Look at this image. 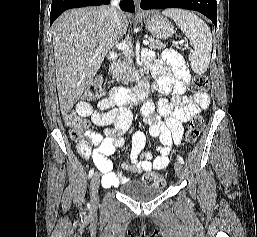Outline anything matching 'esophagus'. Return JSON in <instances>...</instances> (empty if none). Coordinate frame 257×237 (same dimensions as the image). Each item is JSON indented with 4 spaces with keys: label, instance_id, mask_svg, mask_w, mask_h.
I'll use <instances>...</instances> for the list:
<instances>
[{
    "label": "esophagus",
    "instance_id": "obj_1",
    "mask_svg": "<svg viewBox=\"0 0 257 237\" xmlns=\"http://www.w3.org/2000/svg\"><path fill=\"white\" fill-rule=\"evenodd\" d=\"M135 6L137 11L139 12V8H140V0H134Z\"/></svg>",
    "mask_w": 257,
    "mask_h": 237
}]
</instances>
